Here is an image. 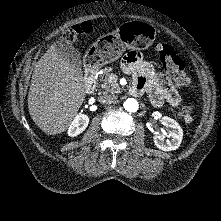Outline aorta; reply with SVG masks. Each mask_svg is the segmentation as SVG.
<instances>
[{
    "label": "aorta",
    "mask_w": 221,
    "mask_h": 221,
    "mask_svg": "<svg viewBox=\"0 0 221 221\" xmlns=\"http://www.w3.org/2000/svg\"><path fill=\"white\" fill-rule=\"evenodd\" d=\"M123 106H124V109L130 113L136 112L139 108V104H138L137 100L134 98H128L124 102Z\"/></svg>",
    "instance_id": "762f6f07"
}]
</instances>
